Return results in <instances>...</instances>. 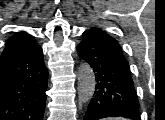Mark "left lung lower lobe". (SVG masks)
I'll return each instance as SVG.
<instances>
[{
	"instance_id": "obj_1",
	"label": "left lung lower lobe",
	"mask_w": 165,
	"mask_h": 120,
	"mask_svg": "<svg viewBox=\"0 0 165 120\" xmlns=\"http://www.w3.org/2000/svg\"><path fill=\"white\" fill-rule=\"evenodd\" d=\"M77 51L93 68L97 82L83 120L118 116L140 120L130 67L118 41L99 28H91L83 33Z\"/></svg>"
}]
</instances>
